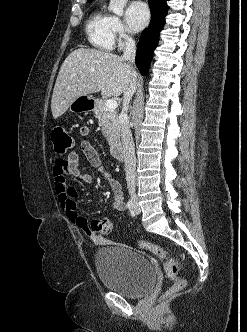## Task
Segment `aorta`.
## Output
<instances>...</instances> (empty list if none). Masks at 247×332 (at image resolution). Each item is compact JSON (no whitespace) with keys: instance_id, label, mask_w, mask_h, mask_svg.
Masks as SVG:
<instances>
[{"instance_id":"aorta-1","label":"aorta","mask_w":247,"mask_h":332,"mask_svg":"<svg viewBox=\"0 0 247 332\" xmlns=\"http://www.w3.org/2000/svg\"><path fill=\"white\" fill-rule=\"evenodd\" d=\"M127 0H110L108 9L118 16H122L124 13V7Z\"/></svg>"}]
</instances>
